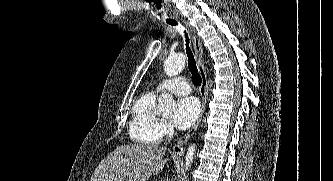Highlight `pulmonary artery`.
Segmentation results:
<instances>
[{
	"mask_svg": "<svg viewBox=\"0 0 333 181\" xmlns=\"http://www.w3.org/2000/svg\"><path fill=\"white\" fill-rule=\"evenodd\" d=\"M163 89H168L173 94L181 96L188 95L191 91L188 83L182 77L165 81L157 87V91H161Z\"/></svg>",
	"mask_w": 333,
	"mask_h": 181,
	"instance_id": "e3ab8cb5",
	"label": "pulmonary artery"
}]
</instances>
